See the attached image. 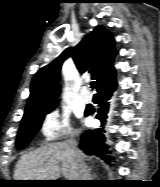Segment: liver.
Masks as SVG:
<instances>
[{
  "mask_svg": "<svg viewBox=\"0 0 160 187\" xmlns=\"http://www.w3.org/2000/svg\"><path fill=\"white\" fill-rule=\"evenodd\" d=\"M80 162L66 143H51L30 151L18 160L15 180H57L60 174L67 180H79V164L85 167V155L77 150Z\"/></svg>",
  "mask_w": 160,
  "mask_h": 187,
  "instance_id": "obj_1",
  "label": "liver"
}]
</instances>
